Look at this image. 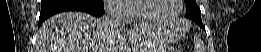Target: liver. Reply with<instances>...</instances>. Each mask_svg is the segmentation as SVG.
<instances>
[{
    "label": "liver",
    "instance_id": "6515ba94",
    "mask_svg": "<svg viewBox=\"0 0 261 52\" xmlns=\"http://www.w3.org/2000/svg\"><path fill=\"white\" fill-rule=\"evenodd\" d=\"M151 34L146 27L118 32L107 26L104 18L86 13H60L41 25L36 52H122L125 36L141 47Z\"/></svg>",
    "mask_w": 261,
    "mask_h": 52
}]
</instances>
